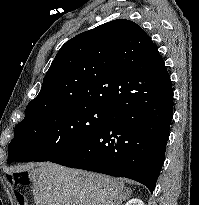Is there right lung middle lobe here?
Here are the masks:
<instances>
[{
    "mask_svg": "<svg viewBox=\"0 0 199 205\" xmlns=\"http://www.w3.org/2000/svg\"><path fill=\"white\" fill-rule=\"evenodd\" d=\"M111 110L60 103L26 108L25 118L14 129L7 163L52 161L74 150L101 131Z\"/></svg>",
    "mask_w": 199,
    "mask_h": 205,
    "instance_id": "dd1d6c3e",
    "label": "right lung middle lobe"
}]
</instances>
